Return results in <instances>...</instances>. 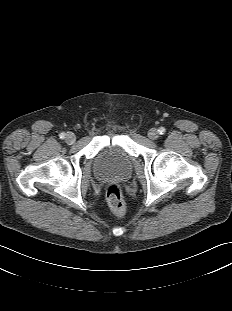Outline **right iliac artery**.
I'll list each match as a JSON object with an SVG mask.
<instances>
[{"label":"right iliac artery","mask_w":232,"mask_h":311,"mask_svg":"<svg viewBox=\"0 0 232 311\" xmlns=\"http://www.w3.org/2000/svg\"><path fill=\"white\" fill-rule=\"evenodd\" d=\"M65 135H66V134L62 132V133L59 134V137H60L61 139H64V138H65Z\"/></svg>","instance_id":"82829eb1"}]
</instances>
